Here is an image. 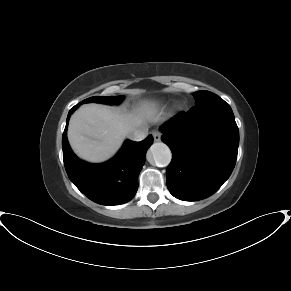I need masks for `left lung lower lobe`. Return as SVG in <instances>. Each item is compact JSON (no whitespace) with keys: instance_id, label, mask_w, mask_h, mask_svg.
<instances>
[{"instance_id":"1","label":"left lung lower lobe","mask_w":291,"mask_h":291,"mask_svg":"<svg viewBox=\"0 0 291 291\" xmlns=\"http://www.w3.org/2000/svg\"><path fill=\"white\" fill-rule=\"evenodd\" d=\"M172 151L166 170L170 193L183 201L214 194L231 175L239 130L231 107L219 96L180 112L160 126Z\"/></svg>"}]
</instances>
